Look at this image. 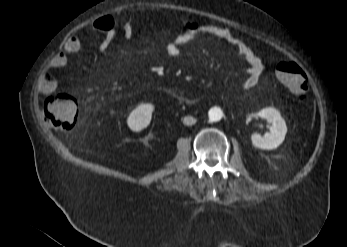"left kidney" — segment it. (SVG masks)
<instances>
[{"label": "left kidney", "instance_id": "left-kidney-1", "mask_svg": "<svg viewBox=\"0 0 347 247\" xmlns=\"http://www.w3.org/2000/svg\"><path fill=\"white\" fill-rule=\"evenodd\" d=\"M256 115L271 122L272 126L270 133H266L263 137L256 133L253 134L251 137L253 145L264 150L276 149L283 142L287 133L285 120L275 108L262 109Z\"/></svg>", "mask_w": 347, "mask_h": 247}]
</instances>
